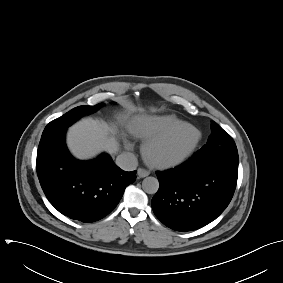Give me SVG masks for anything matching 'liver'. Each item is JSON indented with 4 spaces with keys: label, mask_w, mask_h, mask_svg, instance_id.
Masks as SVG:
<instances>
[{
    "label": "liver",
    "mask_w": 283,
    "mask_h": 283,
    "mask_svg": "<svg viewBox=\"0 0 283 283\" xmlns=\"http://www.w3.org/2000/svg\"><path fill=\"white\" fill-rule=\"evenodd\" d=\"M115 132L114 125L86 118L70 127L67 144L72 154L79 159H89L103 150L114 154L119 149L113 137Z\"/></svg>",
    "instance_id": "liver-1"
}]
</instances>
